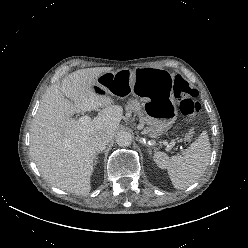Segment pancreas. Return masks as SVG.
Returning <instances> with one entry per match:
<instances>
[{
    "label": "pancreas",
    "instance_id": "pancreas-1",
    "mask_svg": "<svg viewBox=\"0 0 248 248\" xmlns=\"http://www.w3.org/2000/svg\"><path fill=\"white\" fill-rule=\"evenodd\" d=\"M126 110L129 111V112H134L135 114H138L140 119L143 121L145 120V118L142 116L141 112H140V105L138 103L137 100H134V99H130L128 102H127V105H126Z\"/></svg>",
    "mask_w": 248,
    "mask_h": 248
}]
</instances>
